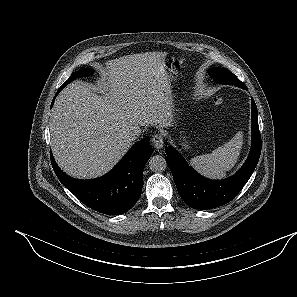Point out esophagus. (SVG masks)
<instances>
[{"mask_svg": "<svg viewBox=\"0 0 297 297\" xmlns=\"http://www.w3.org/2000/svg\"><path fill=\"white\" fill-rule=\"evenodd\" d=\"M152 144L156 149H161L164 146V137L162 134L158 133L153 135Z\"/></svg>", "mask_w": 297, "mask_h": 297, "instance_id": "obj_1", "label": "esophagus"}]
</instances>
